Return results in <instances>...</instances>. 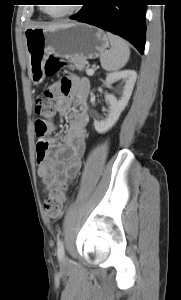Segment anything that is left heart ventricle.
<instances>
[{"mask_svg":"<svg viewBox=\"0 0 181 300\" xmlns=\"http://www.w3.org/2000/svg\"><path fill=\"white\" fill-rule=\"evenodd\" d=\"M49 2L62 4V5H48V6H46L47 11L51 14H54V15L63 13V12H65L68 9L71 8V5H67V4L71 3V1L50 0Z\"/></svg>","mask_w":181,"mask_h":300,"instance_id":"left-heart-ventricle-1","label":"left heart ventricle"}]
</instances>
